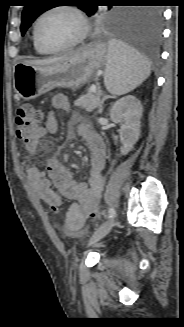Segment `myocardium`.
Segmentation results:
<instances>
[{
    "label": "myocardium",
    "mask_w": 184,
    "mask_h": 327,
    "mask_svg": "<svg viewBox=\"0 0 184 327\" xmlns=\"http://www.w3.org/2000/svg\"><path fill=\"white\" fill-rule=\"evenodd\" d=\"M55 11H67V12H70L71 14H73L77 18V20L80 24L81 31L76 39H74L72 42H70L66 45H63L60 47H49L40 40L39 34H38V27H39L40 22L42 21V19L45 16H47L48 14L55 12ZM89 31H90L89 22L85 16V14L78 7L73 6V5H55V6L49 7L45 11H43L36 19L34 26H33V38H34L36 45L38 47H40L42 50L49 52V53H57V52H62V51L72 49V48L78 46L79 44H81L87 38Z\"/></svg>",
    "instance_id": "myocardium-1"
}]
</instances>
